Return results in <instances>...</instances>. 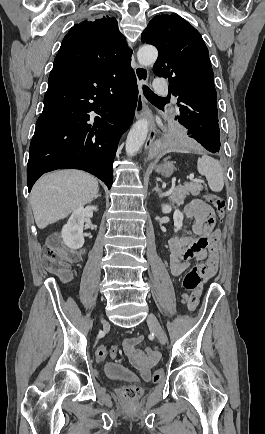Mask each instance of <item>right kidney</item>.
<instances>
[{
  "label": "right kidney",
  "instance_id": "obj_1",
  "mask_svg": "<svg viewBox=\"0 0 265 434\" xmlns=\"http://www.w3.org/2000/svg\"><path fill=\"white\" fill-rule=\"evenodd\" d=\"M94 212H98L97 206H79L71 214L67 224L63 226L61 238L64 244L71 248V250H79L84 244L83 228L84 222L87 218H93Z\"/></svg>",
  "mask_w": 265,
  "mask_h": 434
}]
</instances>
